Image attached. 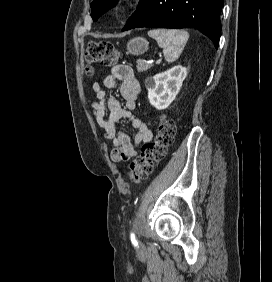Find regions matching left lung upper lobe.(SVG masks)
I'll return each mask as SVG.
<instances>
[{
	"label": "left lung upper lobe",
	"mask_w": 272,
	"mask_h": 282,
	"mask_svg": "<svg viewBox=\"0 0 272 282\" xmlns=\"http://www.w3.org/2000/svg\"><path fill=\"white\" fill-rule=\"evenodd\" d=\"M118 0H93L91 3V16L96 21L103 13L117 4Z\"/></svg>",
	"instance_id": "obj_1"
}]
</instances>
